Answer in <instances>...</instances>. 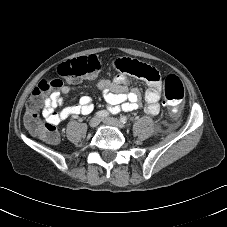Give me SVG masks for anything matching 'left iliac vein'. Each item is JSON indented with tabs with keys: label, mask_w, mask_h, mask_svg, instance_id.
Instances as JSON below:
<instances>
[{
	"label": "left iliac vein",
	"mask_w": 227,
	"mask_h": 227,
	"mask_svg": "<svg viewBox=\"0 0 227 227\" xmlns=\"http://www.w3.org/2000/svg\"><path fill=\"white\" fill-rule=\"evenodd\" d=\"M101 121L107 125H110V126H114L118 129H123L125 126L124 124H122L118 119L116 118H112V117H109V118H103L101 119Z\"/></svg>",
	"instance_id": "1"
}]
</instances>
